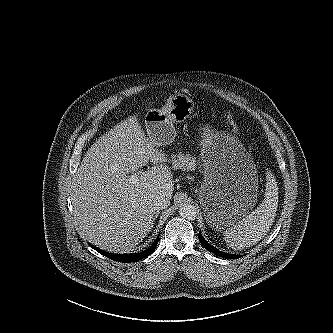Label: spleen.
Wrapping results in <instances>:
<instances>
[{
  "mask_svg": "<svg viewBox=\"0 0 333 333\" xmlns=\"http://www.w3.org/2000/svg\"><path fill=\"white\" fill-rule=\"evenodd\" d=\"M263 202L255 211L246 215L224 232V239L234 250H243L255 245L270 230L278 207V186L276 178L267 171Z\"/></svg>",
  "mask_w": 333,
  "mask_h": 333,
  "instance_id": "1",
  "label": "spleen"
}]
</instances>
